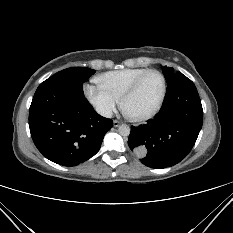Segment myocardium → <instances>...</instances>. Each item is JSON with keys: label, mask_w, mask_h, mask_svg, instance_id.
Wrapping results in <instances>:
<instances>
[{"label": "myocardium", "mask_w": 233, "mask_h": 233, "mask_svg": "<svg viewBox=\"0 0 233 233\" xmlns=\"http://www.w3.org/2000/svg\"><path fill=\"white\" fill-rule=\"evenodd\" d=\"M152 73L158 74L162 80V92H161V96L159 98L158 103L151 111H149L143 115H132V114L128 113L125 109L126 101L138 90V88L140 87V85H141L142 81L145 79V77H147L149 74H152ZM166 93H167V81H166L164 74L162 72H160L159 70L149 69L146 72L142 73L127 88V90L123 93V95L120 98V105H121L122 110L124 111V113L126 114V116L129 119H131L133 121H137V122L145 121V120H148V119L154 117L160 111V109L164 103Z\"/></svg>", "instance_id": "obj_1"}]
</instances>
